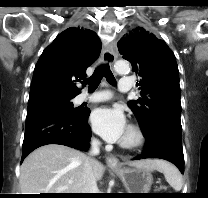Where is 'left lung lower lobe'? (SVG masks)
Wrapping results in <instances>:
<instances>
[{"label": "left lung lower lobe", "mask_w": 208, "mask_h": 198, "mask_svg": "<svg viewBox=\"0 0 208 198\" xmlns=\"http://www.w3.org/2000/svg\"><path fill=\"white\" fill-rule=\"evenodd\" d=\"M147 139L142 155L134 160L145 158L165 159L177 166L184 173V155L181 140V131L168 124L156 126L154 130L144 135Z\"/></svg>", "instance_id": "obj_1"}]
</instances>
